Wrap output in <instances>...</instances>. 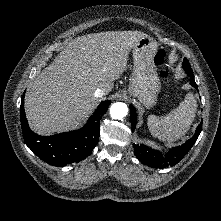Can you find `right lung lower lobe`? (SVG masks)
Segmentation results:
<instances>
[{
    "instance_id": "right-lung-lower-lobe-1",
    "label": "right lung lower lobe",
    "mask_w": 221,
    "mask_h": 221,
    "mask_svg": "<svg viewBox=\"0 0 221 221\" xmlns=\"http://www.w3.org/2000/svg\"><path fill=\"white\" fill-rule=\"evenodd\" d=\"M110 101L102 102L88 122L79 130L52 136H40L28 126L24 112V94L21 99L20 119L26 145L46 163L63 167L78 163L89 156L99 140L100 120L106 113Z\"/></svg>"
}]
</instances>
